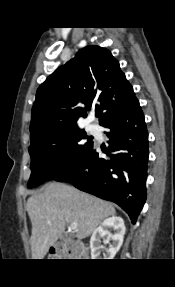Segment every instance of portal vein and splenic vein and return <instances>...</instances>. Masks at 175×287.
I'll return each mask as SVG.
<instances>
[{
  "mask_svg": "<svg viewBox=\"0 0 175 287\" xmlns=\"http://www.w3.org/2000/svg\"><path fill=\"white\" fill-rule=\"evenodd\" d=\"M78 224L76 222H71L70 223V228H72L73 230L77 229Z\"/></svg>",
  "mask_w": 175,
  "mask_h": 287,
  "instance_id": "portal-vein-and-splenic-vein-1",
  "label": "portal vein and splenic vein"
}]
</instances>
